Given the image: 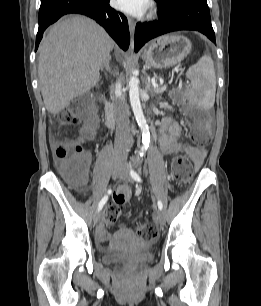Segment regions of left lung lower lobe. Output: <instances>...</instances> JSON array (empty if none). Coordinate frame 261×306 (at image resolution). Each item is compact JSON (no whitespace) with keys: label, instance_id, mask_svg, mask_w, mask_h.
<instances>
[{"label":"left lung lower lobe","instance_id":"left-lung-lower-lobe-1","mask_svg":"<svg viewBox=\"0 0 261 306\" xmlns=\"http://www.w3.org/2000/svg\"><path fill=\"white\" fill-rule=\"evenodd\" d=\"M160 5L159 19L137 23L134 50L162 34L178 30H196L215 42L210 11L206 0H156Z\"/></svg>","mask_w":261,"mask_h":306}]
</instances>
